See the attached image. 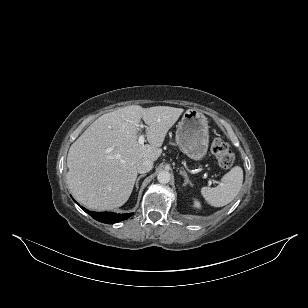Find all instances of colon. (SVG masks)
I'll list each match as a JSON object with an SVG mask.
<instances>
[{"mask_svg":"<svg viewBox=\"0 0 308 308\" xmlns=\"http://www.w3.org/2000/svg\"><path fill=\"white\" fill-rule=\"evenodd\" d=\"M211 151L216 156L221 168L228 169L234 162V154L222 138H214L211 142Z\"/></svg>","mask_w":308,"mask_h":308,"instance_id":"1","label":"colon"}]
</instances>
